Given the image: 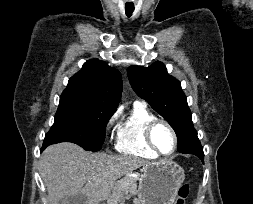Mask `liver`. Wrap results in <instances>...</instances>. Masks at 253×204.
Listing matches in <instances>:
<instances>
[{
    "label": "liver",
    "mask_w": 253,
    "mask_h": 204,
    "mask_svg": "<svg viewBox=\"0 0 253 204\" xmlns=\"http://www.w3.org/2000/svg\"><path fill=\"white\" fill-rule=\"evenodd\" d=\"M147 164L135 156L92 153L73 143H59L43 152L40 171L49 204L78 194L89 204H100L111 198L117 179Z\"/></svg>",
    "instance_id": "obj_1"
}]
</instances>
